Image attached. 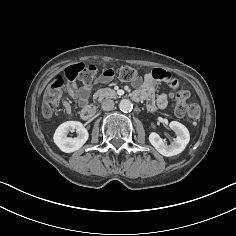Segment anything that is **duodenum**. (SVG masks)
Instances as JSON below:
<instances>
[{"label":"duodenum","mask_w":236,"mask_h":236,"mask_svg":"<svg viewBox=\"0 0 236 236\" xmlns=\"http://www.w3.org/2000/svg\"><path fill=\"white\" fill-rule=\"evenodd\" d=\"M95 114H96V109L92 105H85L80 112V116L84 120L92 119L95 116Z\"/></svg>","instance_id":"410a0bca"}]
</instances>
